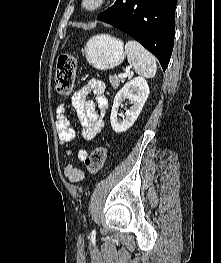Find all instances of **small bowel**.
Listing matches in <instances>:
<instances>
[{
	"label": "small bowel",
	"instance_id": "obj_1",
	"mask_svg": "<svg viewBox=\"0 0 221 263\" xmlns=\"http://www.w3.org/2000/svg\"><path fill=\"white\" fill-rule=\"evenodd\" d=\"M94 95V101L88 99L89 94ZM72 106L82 125V136L85 139L94 138L103 127V118L108 101L105 96V85L102 81L92 79L79 88L72 97ZM58 117L56 128L60 145L65 147V153L71 155L69 145L74 141L76 133L69 119L65 116V107L60 105L57 109ZM78 159L83 161L88 156L86 149L78 151ZM64 175L69 181L78 183L83 180V171L72 163L64 167Z\"/></svg>",
	"mask_w": 221,
	"mask_h": 263
}]
</instances>
